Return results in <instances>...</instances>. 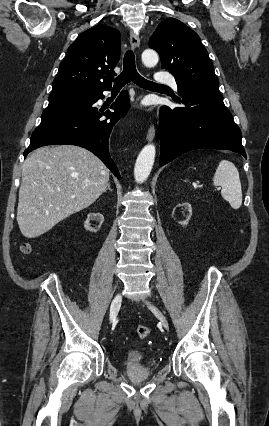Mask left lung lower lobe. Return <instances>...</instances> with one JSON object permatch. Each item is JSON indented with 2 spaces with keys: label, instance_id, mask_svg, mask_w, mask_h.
Returning a JSON list of instances; mask_svg holds the SVG:
<instances>
[{
  "label": "left lung lower lobe",
  "instance_id": "0a47b994",
  "mask_svg": "<svg viewBox=\"0 0 269 426\" xmlns=\"http://www.w3.org/2000/svg\"><path fill=\"white\" fill-rule=\"evenodd\" d=\"M184 107L160 110V165L194 149H226L243 155L241 131L223 103L218 86L179 90Z\"/></svg>",
  "mask_w": 269,
  "mask_h": 426
}]
</instances>
